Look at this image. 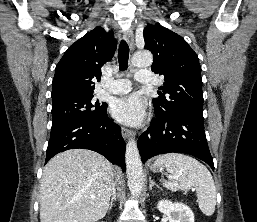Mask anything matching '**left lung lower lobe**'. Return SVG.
<instances>
[{
    "label": "left lung lower lobe",
    "mask_w": 257,
    "mask_h": 222,
    "mask_svg": "<svg viewBox=\"0 0 257 222\" xmlns=\"http://www.w3.org/2000/svg\"><path fill=\"white\" fill-rule=\"evenodd\" d=\"M151 126L139 137L138 149L143 163L153 156L172 152L193 155L213 170L204 131V118L196 113L162 114L156 111Z\"/></svg>",
    "instance_id": "0a47b994"
}]
</instances>
